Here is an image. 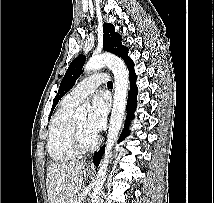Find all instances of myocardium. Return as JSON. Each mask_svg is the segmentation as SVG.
I'll use <instances>...</instances> for the list:
<instances>
[{
	"label": "myocardium",
	"instance_id": "obj_1",
	"mask_svg": "<svg viewBox=\"0 0 214 203\" xmlns=\"http://www.w3.org/2000/svg\"><path fill=\"white\" fill-rule=\"evenodd\" d=\"M70 142L73 150L76 153L84 154L93 151L97 147L99 139L96 135H94L92 141L89 144H86L83 140L80 129L74 122H72Z\"/></svg>",
	"mask_w": 214,
	"mask_h": 203
}]
</instances>
